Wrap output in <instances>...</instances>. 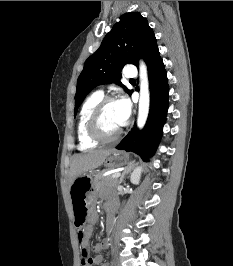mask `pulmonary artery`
<instances>
[{
	"mask_svg": "<svg viewBox=\"0 0 233 266\" xmlns=\"http://www.w3.org/2000/svg\"><path fill=\"white\" fill-rule=\"evenodd\" d=\"M125 76L128 78H134L137 76V72L133 66H128L125 71Z\"/></svg>",
	"mask_w": 233,
	"mask_h": 266,
	"instance_id": "obj_1",
	"label": "pulmonary artery"
}]
</instances>
